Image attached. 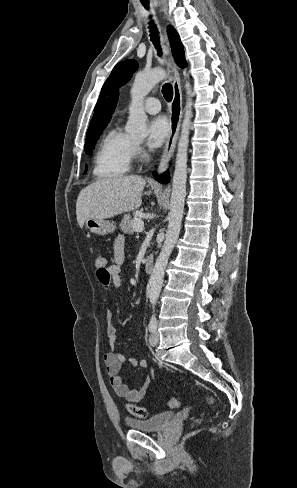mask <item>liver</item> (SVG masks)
<instances>
[{"label":"liver","instance_id":"1","mask_svg":"<svg viewBox=\"0 0 297 488\" xmlns=\"http://www.w3.org/2000/svg\"><path fill=\"white\" fill-rule=\"evenodd\" d=\"M146 181L131 175L99 179L81 190L76 202L77 222L82 228L88 218L107 219L141 206Z\"/></svg>","mask_w":297,"mask_h":488}]
</instances>
